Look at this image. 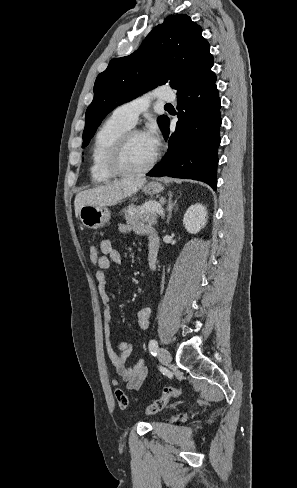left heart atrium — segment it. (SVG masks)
I'll return each instance as SVG.
<instances>
[{
  "label": "left heart atrium",
  "instance_id": "39dd6f15",
  "mask_svg": "<svg viewBox=\"0 0 297 488\" xmlns=\"http://www.w3.org/2000/svg\"><path fill=\"white\" fill-rule=\"evenodd\" d=\"M145 139L154 151H157L161 143L160 132L155 124H151L148 129L143 133Z\"/></svg>",
  "mask_w": 297,
  "mask_h": 488
}]
</instances>
